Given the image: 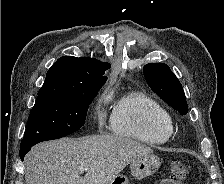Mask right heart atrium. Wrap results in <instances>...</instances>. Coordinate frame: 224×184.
Masks as SVG:
<instances>
[{"instance_id": "obj_1", "label": "right heart atrium", "mask_w": 224, "mask_h": 184, "mask_svg": "<svg viewBox=\"0 0 224 184\" xmlns=\"http://www.w3.org/2000/svg\"><path fill=\"white\" fill-rule=\"evenodd\" d=\"M97 116H98L99 123L101 124L102 123V118H103L102 113L100 111H98Z\"/></svg>"}]
</instances>
